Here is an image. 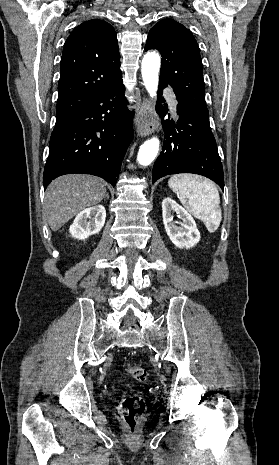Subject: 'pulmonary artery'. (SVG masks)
<instances>
[{"label":"pulmonary artery","mask_w":279,"mask_h":465,"mask_svg":"<svg viewBox=\"0 0 279 465\" xmlns=\"http://www.w3.org/2000/svg\"><path fill=\"white\" fill-rule=\"evenodd\" d=\"M167 98H168V101H169V104H170V108L171 110L176 113V100H175V96L173 93L167 91Z\"/></svg>","instance_id":"1"}]
</instances>
